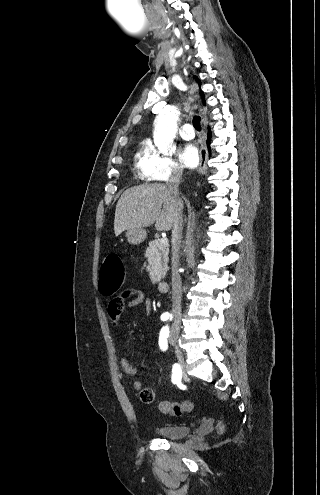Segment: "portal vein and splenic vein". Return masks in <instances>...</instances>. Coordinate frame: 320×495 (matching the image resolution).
Instances as JSON below:
<instances>
[{
	"instance_id": "1",
	"label": "portal vein and splenic vein",
	"mask_w": 320,
	"mask_h": 495,
	"mask_svg": "<svg viewBox=\"0 0 320 495\" xmlns=\"http://www.w3.org/2000/svg\"><path fill=\"white\" fill-rule=\"evenodd\" d=\"M161 244L168 245V239L167 238L161 239Z\"/></svg>"
}]
</instances>
